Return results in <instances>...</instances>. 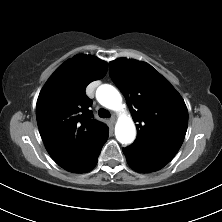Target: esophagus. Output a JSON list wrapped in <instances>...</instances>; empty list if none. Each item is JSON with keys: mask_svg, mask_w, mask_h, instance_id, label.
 <instances>
[{"mask_svg": "<svg viewBox=\"0 0 222 222\" xmlns=\"http://www.w3.org/2000/svg\"><path fill=\"white\" fill-rule=\"evenodd\" d=\"M110 121H111L112 123H115V122H116V117H115V116H112V117L110 118Z\"/></svg>", "mask_w": 222, "mask_h": 222, "instance_id": "34e87169", "label": "esophagus"}]
</instances>
